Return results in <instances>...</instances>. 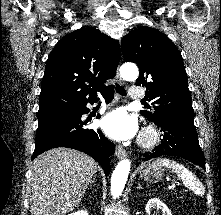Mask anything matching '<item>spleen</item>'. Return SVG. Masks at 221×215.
<instances>
[{"label": "spleen", "instance_id": "3e777b00", "mask_svg": "<svg viewBox=\"0 0 221 215\" xmlns=\"http://www.w3.org/2000/svg\"><path fill=\"white\" fill-rule=\"evenodd\" d=\"M153 164L171 169L182 180L184 186L193 190L195 194L201 196L205 194V188L200 180L182 164L167 158H158Z\"/></svg>", "mask_w": 221, "mask_h": 215}]
</instances>
